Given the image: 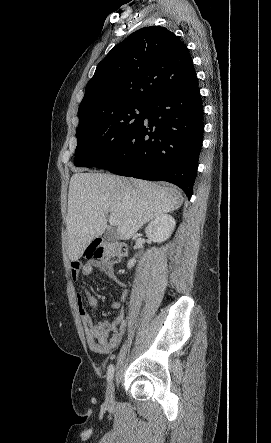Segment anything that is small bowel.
<instances>
[{"label":"small bowel","instance_id":"obj_1","mask_svg":"<svg viewBox=\"0 0 271 443\" xmlns=\"http://www.w3.org/2000/svg\"><path fill=\"white\" fill-rule=\"evenodd\" d=\"M96 267L99 268L110 281L121 288L120 299L111 304L112 309L121 310L120 315L115 321H95L85 308L84 302L95 309L98 306V300L84 285L81 286V291L77 294L76 302L88 347L95 353L106 354L115 349L124 336L128 318L123 310V306L128 297V290L126 285L117 277L111 266L96 261H88L85 264L79 261H73L71 263V277L73 280H76L80 274L88 276Z\"/></svg>","mask_w":271,"mask_h":443}]
</instances>
